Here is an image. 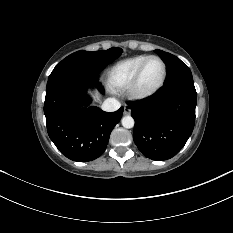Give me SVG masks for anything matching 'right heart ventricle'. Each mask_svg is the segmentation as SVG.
<instances>
[{
    "mask_svg": "<svg viewBox=\"0 0 233 233\" xmlns=\"http://www.w3.org/2000/svg\"><path fill=\"white\" fill-rule=\"evenodd\" d=\"M148 55H137L116 63L108 72V84L113 90L128 89L140 64Z\"/></svg>",
    "mask_w": 233,
    "mask_h": 233,
    "instance_id": "e07e8e85",
    "label": "right heart ventricle"
}]
</instances>
